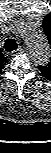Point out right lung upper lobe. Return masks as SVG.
Here are the masks:
<instances>
[{
  "mask_svg": "<svg viewBox=\"0 0 51 153\" xmlns=\"http://www.w3.org/2000/svg\"><path fill=\"white\" fill-rule=\"evenodd\" d=\"M5 62H7V59L4 57V55L0 51V73H1V70H2Z\"/></svg>",
  "mask_w": 51,
  "mask_h": 153,
  "instance_id": "1",
  "label": "right lung upper lobe"
}]
</instances>
